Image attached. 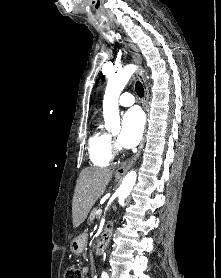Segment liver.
Masks as SVG:
<instances>
[{"label":"liver","instance_id":"1","mask_svg":"<svg viewBox=\"0 0 221 278\" xmlns=\"http://www.w3.org/2000/svg\"><path fill=\"white\" fill-rule=\"evenodd\" d=\"M109 168L88 167L81 171L72 200L73 227H79L86 219L92 206L103 195L112 178Z\"/></svg>","mask_w":221,"mask_h":278}]
</instances>
